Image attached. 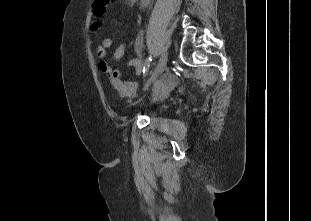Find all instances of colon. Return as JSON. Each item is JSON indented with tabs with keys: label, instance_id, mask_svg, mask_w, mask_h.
<instances>
[{
	"label": "colon",
	"instance_id": "obj_1",
	"mask_svg": "<svg viewBox=\"0 0 311 221\" xmlns=\"http://www.w3.org/2000/svg\"><path fill=\"white\" fill-rule=\"evenodd\" d=\"M113 0H95L91 2L93 11V17H108L109 5ZM99 23L98 25H100ZM93 30H97V27H93Z\"/></svg>",
	"mask_w": 311,
	"mask_h": 221
}]
</instances>
